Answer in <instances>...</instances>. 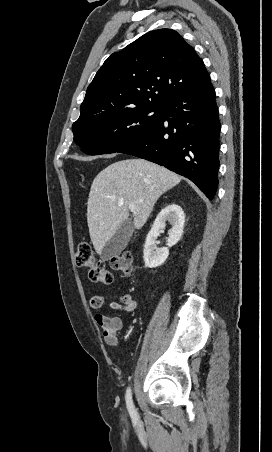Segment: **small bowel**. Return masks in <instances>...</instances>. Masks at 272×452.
<instances>
[{
	"instance_id": "1",
	"label": "small bowel",
	"mask_w": 272,
	"mask_h": 452,
	"mask_svg": "<svg viewBox=\"0 0 272 452\" xmlns=\"http://www.w3.org/2000/svg\"><path fill=\"white\" fill-rule=\"evenodd\" d=\"M105 304V297L96 294L90 299V307L92 309H101ZM110 309L122 312H133L137 308V301L130 293L120 295L118 301H110L108 303ZM95 323L103 330V336L106 343L112 344L117 341L118 333L121 330L122 322L118 317H110L104 314H96Z\"/></svg>"
}]
</instances>
